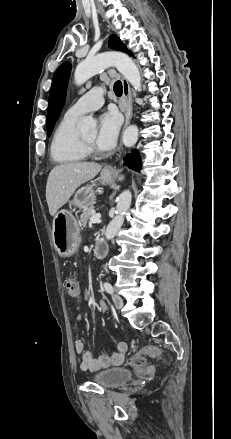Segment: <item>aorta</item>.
Masks as SVG:
<instances>
[{"label": "aorta", "mask_w": 231, "mask_h": 439, "mask_svg": "<svg viewBox=\"0 0 231 439\" xmlns=\"http://www.w3.org/2000/svg\"><path fill=\"white\" fill-rule=\"evenodd\" d=\"M114 66L130 82L136 91H141V75L135 62L125 53L106 52L94 57H87L80 62L74 73V82L80 86L101 70ZM80 132L83 134L96 133V122L91 117H85L80 124ZM138 127L130 125L123 133V144L132 147L138 140ZM132 194L126 190L117 199L116 215L108 224L105 232L106 239H112L120 230L126 212L129 210Z\"/></svg>", "instance_id": "1"}]
</instances>
